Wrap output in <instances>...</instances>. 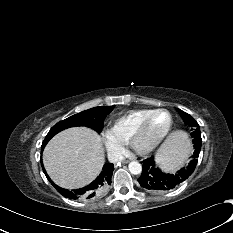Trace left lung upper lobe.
Here are the masks:
<instances>
[{
    "label": "left lung upper lobe",
    "mask_w": 233,
    "mask_h": 233,
    "mask_svg": "<svg viewBox=\"0 0 233 233\" xmlns=\"http://www.w3.org/2000/svg\"><path fill=\"white\" fill-rule=\"evenodd\" d=\"M177 111L179 112V114L181 115V117L183 118L185 123L191 127V130L193 131L191 133V135H192V137H194L193 141L196 143L202 142L200 127H199L197 121L193 117H191L188 113H186L180 109H177Z\"/></svg>",
    "instance_id": "1"
}]
</instances>
